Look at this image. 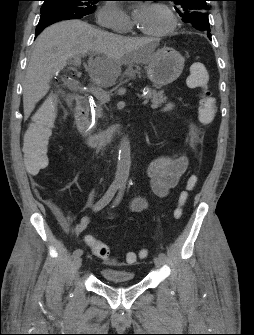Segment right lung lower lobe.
<instances>
[{"mask_svg": "<svg viewBox=\"0 0 254 335\" xmlns=\"http://www.w3.org/2000/svg\"><path fill=\"white\" fill-rule=\"evenodd\" d=\"M82 17L76 16L66 11H49L41 14L39 23L36 28V35L40 34L47 26L68 19H80Z\"/></svg>", "mask_w": 254, "mask_h": 335, "instance_id": "1", "label": "right lung lower lobe"}]
</instances>
